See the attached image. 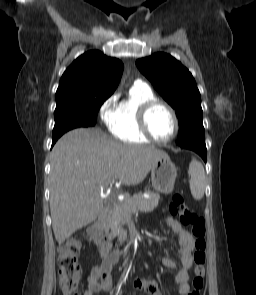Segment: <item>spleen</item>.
Returning <instances> with one entry per match:
<instances>
[{
  "instance_id": "3e777b00",
  "label": "spleen",
  "mask_w": 256,
  "mask_h": 295,
  "mask_svg": "<svg viewBox=\"0 0 256 295\" xmlns=\"http://www.w3.org/2000/svg\"><path fill=\"white\" fill-rule=\"evenodd\" d=\"M190 190L194 199L200 200L204 196L206 186V176L203 166L195 159L192 160L189 166Z\"/></svg>"
}]
</instances>
